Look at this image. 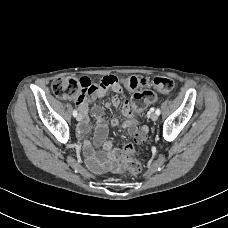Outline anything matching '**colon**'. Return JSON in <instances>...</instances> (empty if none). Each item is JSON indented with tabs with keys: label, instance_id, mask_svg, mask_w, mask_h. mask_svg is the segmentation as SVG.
<instances>
[{
	"label": "colon",
	"instance_id": "colon-1",
	"mask_svg": "<svg viewBox=\"0 0 228 228\" xmlns=\"http://www.w3.org/2000/svg\"><path fill=\"white\" fill-rule=\"evenodd\" d=\"M150 82L146 78L128 77L119 79L116 76H105L99 81H91L87 77L80 79L75 78H58L51 84L53 93L61 98L81 97L87 93H94L104 90L115 85H123L126 89H142L135 93L131 99V108L133 112H140L150 103L154 102L156 96L153 90L147 89ZM152 85L159 92H168L172 90L174 82L165 76H158L152 80ZM135 148L132 144L124 146L121 156L122 167L131 175H138L141 172V165L133 158Z\"/></svg>",
	"mask_w": 228,
	"mask_h": 228
}]
</instances>
